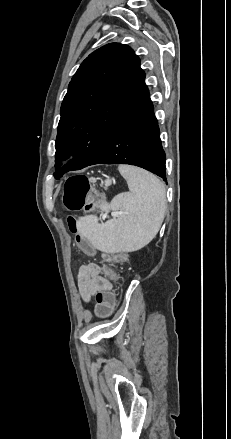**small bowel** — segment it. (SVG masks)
<instances>
[{"mask_svg": "<svg viewBox=\"0 0 231 439\" xmlns=\"http://www.w3.org/2000/svg\"><path fill=\"white\" fill-rule=\"evenodd\" d=\"M103 257L106 260L112 259L109 253H103ZM101 287H108L113 291L111 281L101 274L100 266L96 263L82 265L78 273V288L82 300L89 302L92 298L95 299Z\"/></svg>", "mask_w": 231, "mask_h": 439, "instance_id": "obj_1", "label": "small bowel"}]
</instances>
